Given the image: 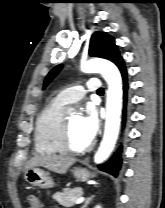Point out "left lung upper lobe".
Masks as SVG:
<instances>
[{"label": "left lung upper lobe", "instance_id": "1", "mask_svg": "<svg viewBox=\"0 0 165 208\" xmlns=\"http://www.w3.org/2000/svg\"><path fill=\"white\" fill-rule=\"evenodd\" d=\"M89 54L108 59L115 64L121 59L114 38L105 32H95L90 39ZM62 65L54 67L46 76L44 87L59 73Z\"/></svg>", "mask_w": 165, "mask_h": 208}]
</instances>
